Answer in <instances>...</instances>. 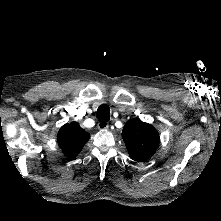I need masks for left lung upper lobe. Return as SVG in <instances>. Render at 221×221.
Listing matches in <instances>:
<instances>
[{
  "mask_svg": "<svg viewBox=\"0 0 221 221\" xmlns=\"http://www.w3.org/2000/svg\"><path fill=\"white\" fill-rule=\"evenodd\" d=\"M129 156L142 162L151 158L159 145V134L150 124L139 119L128 121L122 132Z\"/></svg>",
  "mask_w": 221,
  "mask_h": 221,
  "instance_id": "5c2ea615",
  "label": "left lung upper lobe"
}]
</instances>
